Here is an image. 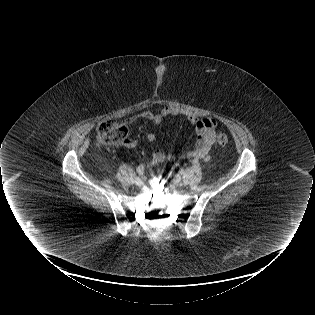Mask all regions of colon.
<instances>
[{
	"instance_id": "colon-1",
	"label": "colon",
	"mask_w": 315,
	"mask_h": 315,
	"mask_svg": "<svg viewBox=\"0 0 315 315\" xmlns=\"http://www.w3.org/2000/svg\"><path fill=\"white\" fill-rule=\"evenodd\" d=\"M97 137L101 145L106 147H120L128 140V130L126 126L118 122L105 121L97 128ZM217 143L225 146L229 142V137L221 133L217 136Z\"/></svg>"
}]
</instances>
